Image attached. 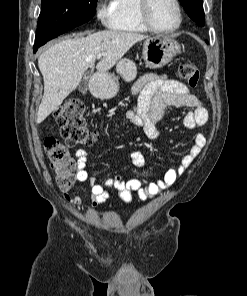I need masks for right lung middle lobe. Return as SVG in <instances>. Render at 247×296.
Returning a JSON list of instances; mask_svg holds the SVG:
<instances>
[{
  "mask_svg": "<svg viewBox=\"0 0 247 296\" xmlns=\"http://www.w3.org/2000/svg\"><path fill=\"white\" fill-rule=\"evenodd\" d=\"M97 0H42L34 48L89 21Z\"/></svg>",
  "mask_w": 247,
  "mask_h": 296,
  "instance_id": "1",
  "label": "right lung middle lobe"
}]
</instances>
